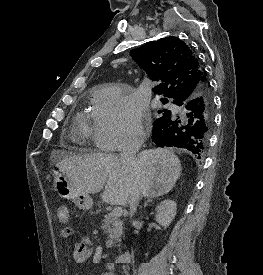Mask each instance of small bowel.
Returning <instances> with one entry per match:
<instances>
[{
  "label": "small bowel",
  "mask_w": 263,
  "mask_h": 275,
  "mask_svg": "<svg viewBox=\"0 0 263 275\" xmlns=\"http://www.w3.org/2000/svg\"><path fill=\"white\" fill-rule=\"evenodd\" d=\"M72 235V229L66 227L62 230V236L64 238H68ZM94 252L93 244L89 239H83L78 242L75 248L72 251V260L77 263H85L89 260ZM101 275H115L113 266L111 264H107L104 272Z\"/></svg>",
  "instance_id": "1"
}]
</instances>
